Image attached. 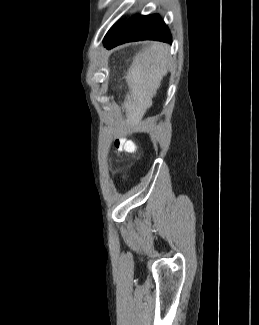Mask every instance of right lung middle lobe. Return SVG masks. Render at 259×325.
Listing matches in <instances>:
<instances>
[{"instance_id": "dd1d6c3e", "label": "right lung middle lobe", "mask_w": 259, "mask_h": 325, "mask_svg": "<svg viewBox=\"0 0 259 325\" xmlns=\"http://www.w3.org/2000/svg\"><path fill=\"white\" fill-rule=\"evenodd\" d=\"M120 23H121V22L115 24V25H114V26H113V27L108 31V33H107L106 36H105V40H104V41H106L108 38L111 37V35L116 31V29L118 28V26H119Z\"/></svg>"}]
</instances>
